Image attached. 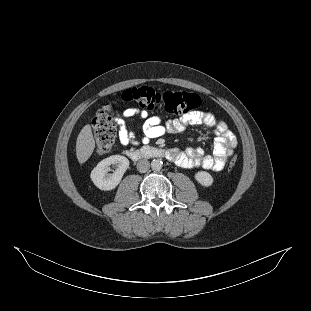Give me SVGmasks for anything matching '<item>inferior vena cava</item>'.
Masks as SVG:
<instances>
[{
    "mask_svg": "<svg viewBox=\"0 0 311 311\" xmlns=\"http://www.w3.org/2000/svg\"><path fill=\"white\" fill-rule=\"evenodd\" d=\"M150 168V162L146 159H142V160H139L138 163H137V170L140 172V173H145L149 170Z\"/></svg>",
    "mask_w": 311,
    "mask_h": 311,
    "instance_id": "obj_1",
    "label": "inferior vena cava"
}]
</instances>
